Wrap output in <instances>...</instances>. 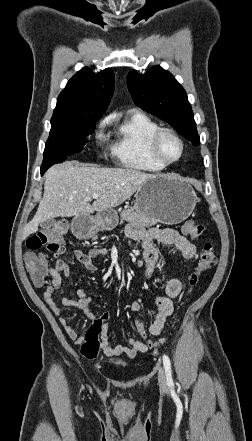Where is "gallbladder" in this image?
I'll return each instance as SVG.
<instances>
[{
	"mask_svg": "<svg viewBox=\"0 0 252 441\" xmlns=\"http://www.w3.org/2000/svg\"><path fill=\"white\" fill-rule=\"evenodd\" d=\"M55 223H56V221L54 219L45 220L44 222L41 223V228L42 229H49L52 226H54Z\"/></svg>",
	"mask_w": 252,
	"mask_h": 441,
	"instance_id": "obj_1",
	"label": "gallbladder"
}]
</instances>
